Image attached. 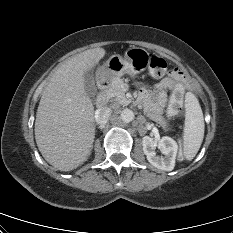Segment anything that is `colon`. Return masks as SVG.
Masks as SVG:
<instances>
[{"instance_id":"1","label":"colon","mask_w":233,"mask_h":233,"mask_svg":"<svg viewBox=\"0 0 233 233\" xmlns=\"http://www.w3.org/2000/svg\"><path fill=\"white\" fill-rule=\"evenodd\" d=\"M148 67L150 74L157 78L163 77L167 72V62L160 56H156V55L150 56ZM183 93H184L183 85L178 84L174 88V91L171 94L169 100V104L167 108L168 117H173L180 111L183 104ZM177 158L179 161H183L184 154L180 152Z\"/></svg>"}]
</instances>
